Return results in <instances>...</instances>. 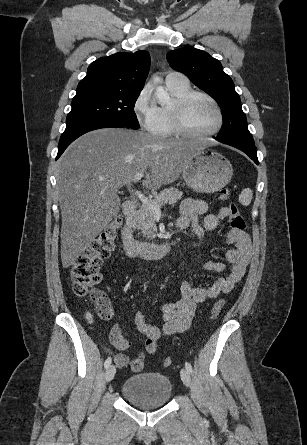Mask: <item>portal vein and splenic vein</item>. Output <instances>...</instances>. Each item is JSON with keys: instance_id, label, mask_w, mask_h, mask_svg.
<instances>
[{"instance_id": "portal-vein-and-splenic-vein-1", "label": "portal vein and splenic vein", "mask_w": 307, "mask_h": 445, "mask_svg": "<svg viewBox=\"0 0 307 445\" xmlns=\"http://www.w3.org/2000/svg\"><path fill=\"white\" fill-rule=\"evenodd\" d=\"M142 176H144V172H138L133 178L134 182H138ZM135 194L143 204H147V206L152 208L154 214H161V206H159V204H154L150 198H147L146 194H143L142 190H135Z\"/></svg>"}]
</instances>
